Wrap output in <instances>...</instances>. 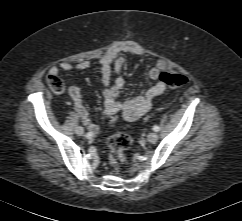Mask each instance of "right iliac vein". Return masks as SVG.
I'll return each mask as SVG.
<instances>
[{
  "mask_svg": "<svg viewBox=\"0 0 242 221\" xmlns=\"http://www.w3.org/2000/svg\"><path fill=\"white\" fill-rule=\"evenodd\" d=\"M75 132L77 135H80V136L84 134V130L82 127H77Z\"/></svg>",
  "mask_w": 242,
  "mask_h": 221,
  "instance_id": "obj_1",
  "label": "right iliac vein"
}]
</instances>
